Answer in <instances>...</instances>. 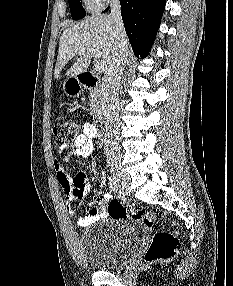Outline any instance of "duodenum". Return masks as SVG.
<instances>
[{"label":"duodenum","instance_id":"duodenum-1","mask_svg":"<svg viewBox=\"0 0 233 286\" xmlns=\"http://www.w3.org/2000/svg\"><path fill=\"white\" fill-rule=\"evenodd\" d=\"M79 83L87 88V89H94L99 86L100 81L99 79L91 72L84 71L78 75ZM97 129L102 136L106 134L107 131V123L103 117H99L97 120Z\"/></svg>","mask_w":233,"mask_h":286}]
</instances>
